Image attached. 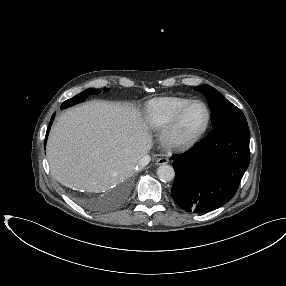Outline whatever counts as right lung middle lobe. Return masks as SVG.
I'll list each match as a JSON object with an SVG mask.
<instances>
[{
    "label": "right lung middle lobe",
    "mask_w": 286,
    "mask_h": 286,
    "mask_svg": "<svg viewBox=\"0 0 286 286\" xmlns=\"http://www.w3.org/2000/svg\"><path fill=\"white\" fill-rule=\"evenodd\" d=\"M106 91V88L104 89V92ZM100 91L97 89H87L81 93H79L78 95L66 100L62 105L61 108H67L70 106H73L77 103L82 102L88 95H95L97 93H99Z\"/></svg>",
    "instance_id": "obj_1"
}]
</instances>
